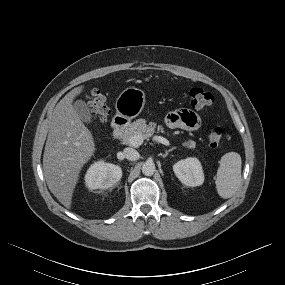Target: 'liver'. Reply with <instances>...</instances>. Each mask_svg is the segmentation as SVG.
Segmentation results:
<instances>
[{
    "instance_id": "obj_1",
    "label": "liver",
    "mask_w": 285,
    "mask_h": 285,
    "mask_svg": "<svg viewBox=\"0 0 285 285\" xmlns=\"http://www.w3.org/2000/svg\"><path fill=\"white\" fill-rule=\"evenodd\" d=\"M83 88L72 89L54 108L43 155L47 186L68 209L71 208L79 173L95 152L93 135L72 104Z\"/></svg>"
}]
</instances>
